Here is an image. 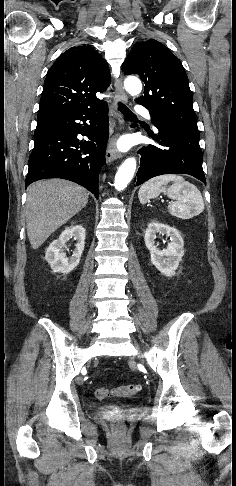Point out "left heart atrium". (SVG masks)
Wrapping results in <instances>:
<instances>
[{
  "label": "left heart atrium",
  "mask_w": 236,
  "mask_h": 486,
  "mask_svg": "<svg viewBox=\"0 0 236 486\" xmlns=\"http://www.w3.org/2000/svg\"><path fill=\"white\" fill-rule=\"evenodd\" d=\"M119 146L121 149H125L127 147L125 142H121Z\"/></svg>",
  "instance_id": "obj_1"
}]
</instances>
